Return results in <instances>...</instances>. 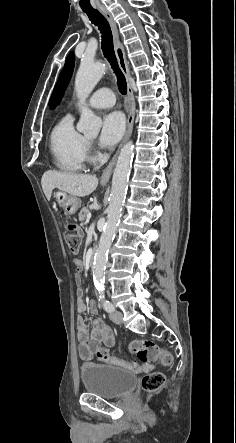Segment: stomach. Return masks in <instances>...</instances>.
<instances>
[{
  "label": "stomach",
  "instance_id": "obj_1",
  "mask_svg": "<svg viewBox=\"0 0 236 443\" xmlns=\"http://www.w3.org/2000/svg\"><path fill=\"white\" fill-rule=\"evenodd\" d=\"M55 198L66 215L75 214L81 206V200L79 198L68 195L63 191H57L55 193Z\"/></svg>",
  "mask_w": 236,
  "mask_h": 443
}]
</instances>
